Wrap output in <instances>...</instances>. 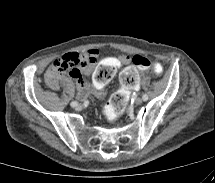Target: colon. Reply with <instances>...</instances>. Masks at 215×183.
Here are the masks:
<instances>
[{"mask_svg": "<svg viewBox=\"0 0 215 183\" xmlns=\"http://www.w3.org/2000/svg\"><path fill=\"white\" fill-rule=\"evenodd\" d=\"M75 66V62L59 61L54 65V70L57 73H67L72 71ZM149 66L150 61L147 58L136 55L132 58V65L123 69L121 73L123 89L113 94L105 109V116L109 120H114L124 112L128 100L127 91L139 84L140 76L138 70H146ZM154 70L156 73H161L163 67L157 63L154 65Z\"/></svg>", "mask_w": 215, "mask_h": 183, "instance_id": "colon-1", "label": "colon"}]
</instances>
